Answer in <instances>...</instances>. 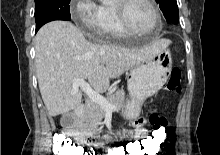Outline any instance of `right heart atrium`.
I'll return each instance as SVG.
<instances>
[{
    "label": "right heart atrium",
    "instance_id": "d8ad5b80",
    "mask_svg": "<svg viewBox=\"0 0 220 155\" xmlns=\"http://www.w3.org/2000/svg\"><path fill=\"white\" fill-rule=\"evenodd\" d=\"M71 15L75 22L86 30L101 34L104 29V16L102 6L94 0H76Z\"/></svg>",
    "mask_w": 220,
    "mask_h": 155
}]
</instances>
